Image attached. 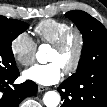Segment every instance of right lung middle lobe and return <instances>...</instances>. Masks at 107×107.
<instances>
[{
  "mask_svg": "<svg viewBox=\"0 0 107 107\" xmlns=\"http://www.w3.org/2000/svg\"><path fill=\"white\" fill-rule=\"evenodd\" d=\"M28 27L29 25L23 21L0 16V78L7 77L18 71L11 43Z\"/></svg>",
  "mask_w": 107,
  "mask_h": 107,
  "instance_id": "dd1d6c3e",
  "label": "right lung middle lobe"
}]
</instances>
